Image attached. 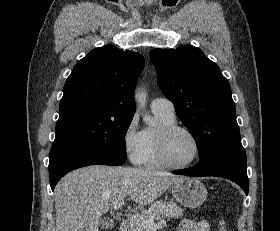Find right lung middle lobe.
<instances>
[{
    "label": "right lung middle lobe",
    "mask_w": 280,
    "mask_h": 231,
    "mask_svg": "<svg viewBox=\"0 0 280 231\" xmlns=\"http://www.w3.org/2000/svg\"><path fill=\"white\" fill-rule=\"evenodd\" d=\"M133 117L94 116L58 120L53 144L82 146L126 160L125 135Z\"/></svg>",
    "instance_id": "dd1d6c3e"
}]
</instances>
